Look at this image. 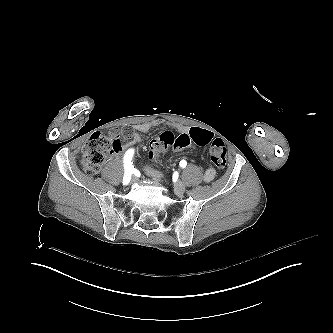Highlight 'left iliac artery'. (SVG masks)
<instances>
[{
    "label": "left iliac artery",
    "mask_w": 333,
    "mask_h": 333,
    "mask_svg": "<svg viewBox=\"0 0 333 333\" xmlns=\"http://www.w3.org/2000/svg\"><path fill=\"white\" fill-rule=\"evenodd\" d=\"M186 165H187V162L185 161V160H182L181 162H180V166L181 167H186Z\"/></svg>",
    "instance_id": "1"
}]
</instances>
